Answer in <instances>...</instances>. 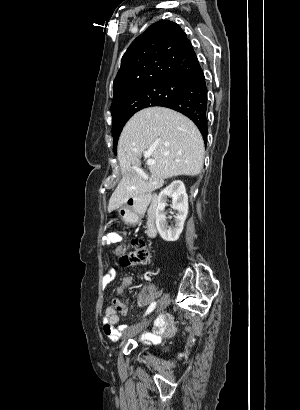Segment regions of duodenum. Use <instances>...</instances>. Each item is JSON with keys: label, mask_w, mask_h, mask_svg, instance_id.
<instances>
[{"label": "duodenum", "mask_w": 300, "mask_h": 410, "mask_svg": "<svg viewBox=\"0 0 300 410\" xmlns=\"http://www.w3.org/2000/svg\"><path fill=\"white\" fill-rule=\"evenodd\" d=\"M157 200L154 197L134 198L129 207L127 222L137 223L140 217L145 216L147 221L146 234L154 238L157 234L155 218L157 213Z\"/></svg>", "instance_id": "obj_1"}]
</instances>
